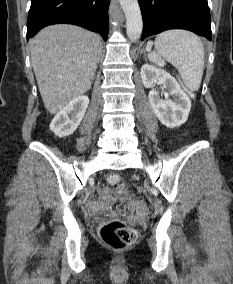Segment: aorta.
<instances>
[{
  "label": "aorta",
  "instance_id": "762f6f07",
  "mask_svg": "<svg viewBox=\"0 0 233 284\" xmlns=\"http://www.w3.org/2000/svg\"><path fill=\"white\" fill-rule=\"evenodd\" d=\"M119 2L126 17L127 36L135 42L140 38L143 28L138 0H119Z\"/></svg>",
  "mask_w": 233,
  "mask_h": 284
}]
</instances>
